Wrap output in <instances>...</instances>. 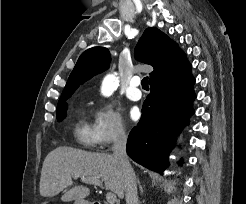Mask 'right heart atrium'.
Masks as SVG:
<instances>
[{
	"instance_id": "d8ad5b80",
	"label": "right heart atrium",
	"mask_w": 246,
	"mask_h": 204,
	"mask_svg": "<svg viewBox=\"0 0 246 204\" xmlns=\"http://www.w3.org/2000/svg\"><path fill=\"white\" fill-rule=\"evenodd\" d=\"M92 133L95 144L105 148L124 140L127 137V126L111 103L102 102L93 113Z\"/></svg>"
}]
</instances>
